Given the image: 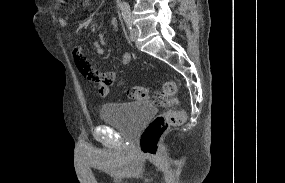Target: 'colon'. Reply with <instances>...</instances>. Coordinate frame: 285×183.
I'll return each instance as SVG.
<instances>
[{"label": "colon", "instance_id": "5ec220e1", "mask_svg": "<svg viewBox=\"0 0 285 183\" xmlns=\"http://www.w3.org/2000/svg\"><path fill=\"white\" fill-rule=\"evenodd\" d=\"M77 68L80 73L89 80H94L95 76L87 64L79 63ZM177 85L174 81H167L161 92L152 93L151 90L143 86H130L126 89V95L132 100L152 99L158 104H167L174 107L177 104L176 99ZM186 113L183 110L169 109L168 111L157 115L143 131L139 145L144 154L153 155L157 152L158 143L163 134L171 126H177L184 123Z\"/></svg>", "mask_w": 285, "mask_h": 183}]
</instances>
